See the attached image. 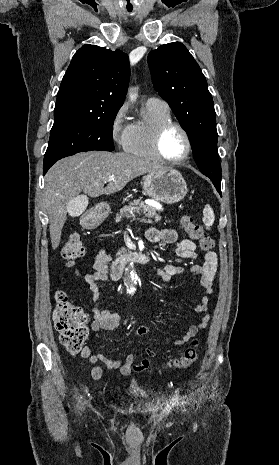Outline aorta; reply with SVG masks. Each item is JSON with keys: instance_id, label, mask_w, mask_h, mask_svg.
<instances>
[{"instance_id": "aorta-1", "label": "aorta", "mask_w": 279, "mask_h": 465, "mask_svg": "<svg viewBox=\"0 0 279 465\" xmlns=\"http://www.w3.org/2000/svg\"><path fill=\"white\" fill-rule=\"evenodd\" d=\"M131 279H132V281L134 280V274H132V273H131ZM132 285H133V284H132V282H131L130 286H132Z\"/></svg>"}]
</instances>
